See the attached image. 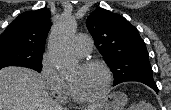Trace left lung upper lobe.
Segmentation results:
<instances>
[{"label": "left lung upper lobe", "mask_w": 171, "mask_h": 110, "mask_svg": "<svg viewBox=\"0 0 171 110\" xmlns=\"http://www.w3.org/2000/svg\"><path fill=\"white\" fill-rule=\"evenodd\" d=\"M86 25L113 72L114 85L125 81L154 82L145 43L125 18L97 8L87 18Z\"/></svg>", "instance_id": "5c2ea615"}]
</instances>
